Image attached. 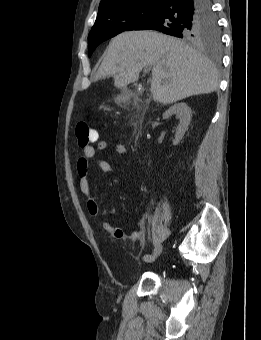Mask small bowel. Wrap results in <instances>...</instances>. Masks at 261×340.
Instances as JSON below:
<instances>
[{
    "label": "small bowel",
    "mask_w": 261,
    "mask_h": 340,
    "mask_svg": "<svg viewBox=\"0 0 261 340\" xmlns=\"http://www.w3.org/2000/svg\"><path fill=\"white\" fill-rule=\"evenodd\" d=\"M96 141H98V139ZM107 147L108 143L104 140H99L96 148L90 144L83 146V155L80 156L75 163L79 189L86 201V211L91 216H97L100 213V207L97 196L93 193L90 186L88 176L89 161L97 158V151H105ZM114 150L119 156H123L127 152L126 146L123 143H117ZM97 164L102 172L107 174L112 172V167L108 161L104 159H97ZM101 227L104 231L112 234L117 239H129L132 242H140L145 236L143 226H140L138 230L127 233L123 229L113 227L108 221L104 220L101 223Z\"/></svg>",
    "instance_id": "c3829d8e"
}]
</instances>
